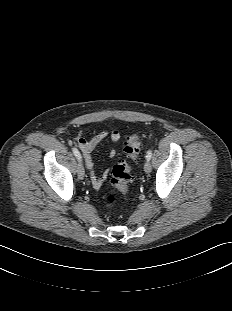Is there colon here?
Wrapping results in <instances>:
<instances>
[{"label": "colon", "instance_id": "1", "mask_svg": "<svg viewBox=\"0 0 232 311\" xmlns=\"http://www.w3.org/2000/svg\"><path fill=\"white\" fill-rule=\"evenodd\" d=\"M142 141L138 134H132L125 140L123 152L132 160H135L141 150ZM132 180L131 168L126 162H119L111 169L110 184L113 191L108 192L104 197V203L107 207H113L121 196L130 191V182Z\"/></svg>", "mask_w": 232, "mask_h": 311}]
</instances>
